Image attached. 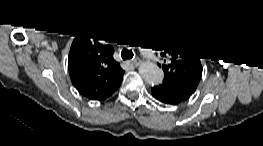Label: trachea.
Instances as JSON below:
<instances>
[{"label": "trachea", "mask_w": 263, "mask_h": 146, "mask_svg": "<svg viewBox=\"0 0 263 146\" xmlns=\"http://www.w3.org/2000/svg\"><path fill=\"white\" fill-rule=\"evenodd\" d=\"M121 57L123 58V60L131 59L133 58V52L130 50H123L121 52Z\"/></svg>", "instance_id": "obj_1"}]
</instances>
